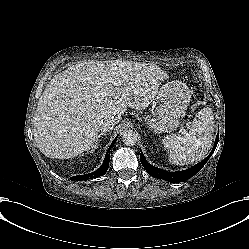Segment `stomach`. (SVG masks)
<instances>
[{
	"label": "stomach",
	"instance_id": "1",
	"mask_svg": "<svg viewBox=\"0 0 249 249\" xmlns=\"http://www.w3.org/2000/svg\"><path fill=\"white\" fill-rule=\"evenodd\" d=\"M191 93L181 82L163 85L158 92L159 104L152 115L143 117L144 123L155 132H171L176 129L189 106Z\"/></svg>",
	"mask_w": 249,
	"mask_h": 249
}]
</instances>
